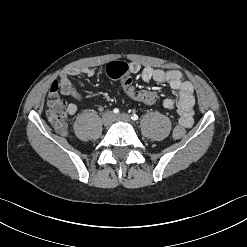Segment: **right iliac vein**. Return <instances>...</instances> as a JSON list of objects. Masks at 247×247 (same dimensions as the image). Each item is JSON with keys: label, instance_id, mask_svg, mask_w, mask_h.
Here are the masks:
<instances>
[{"label": "right iliac vein", "instance_id": "1", "mask_svg": "<svg viewBox=\"0 0 247 247\" xmlns=\"http://www.w3.org/2000/svg\"><path fill=\"white\" fill-rule=\"evenodd\" d=\"M113 119H114V115L110 111L105 112L102 116V122H103L104 126H106V127H108L112 124Z\"/></svg>", "mask_w": 247, "mask_h": 247}]
</instances>
